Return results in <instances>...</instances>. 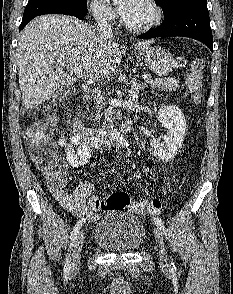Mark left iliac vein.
Returning <instances> with one entry per match:
<instances>
[{"label": "left iliac vein", "mask_w": 233, "mask_h": 294, "mask_svg": "<svg viewBox=\"0 0 233 294\" xmlns=\"http://www.w3.org/2000/svg\"><path fill=\"white\" fill-rule=\"evenodd\" d=\"M154 235H155V239L159 245L160 264L163 267H167L168 266V257H167L165 246H164L163 234L158 227L154 228Z\"/></svg>", "instance_id": "obj_1"}]
</instances>
